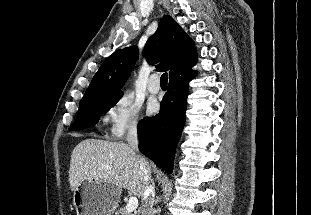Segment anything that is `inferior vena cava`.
Returning <instances> with one entry per match:
<instances>
[{"label":"inferior vena cava","instance_id":"inferior-vena-cava-1","mask_svg":"<svg viewBox=\"0 0 311 215\" xmlns=\"http://www.w3.org/2000/svg\"><path fill=\"white\" fill-rule=\"evenodd\" d=\"M127 143L131 151L136 155L140 170L144 177L143 196L146 198V202L142 208V215H150V209L152 208L154 201V183L151 178L150 172L147 170L145 159L139 154L138 150V133L136 127H131L127 134Z\"/></svg>","mask_w":311,"mask_h":215}]
</instances>
